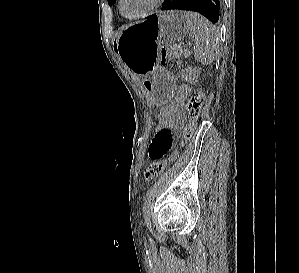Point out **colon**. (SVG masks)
<instances>
[{
  "label": "colon",
  "instance_id": "colon-1",
  "mask_svg": "<svg viewBox=\"0 0 299 273\" xmlns=\"http://www.w3.org/2000/svg\"><path fill=\"white\" fill-rule=\"evenodd\" d=\"M179 53V46L169 44L162 46L161 63H165L168 58L174 57ZM186 87L181 86L175 97L163 108L157 115L158 127L163 128L171 125L183 111V103L186 98ZM205 102V93L202 89L195 91L187 100L186 111L190 121L183 129V138L189 139L192 137L196 128L197 120L200 117L203 105ZM177 154L172 153L169 157L159 161L152 162L145 171V179L147 181L156 179L160 176L166 167L175 160Z\"/></svg>",
  "mask_w": 299,
  "mask_h": 273
}]
</instances>
